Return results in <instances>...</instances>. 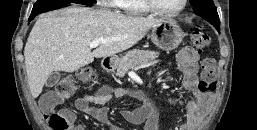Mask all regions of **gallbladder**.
I'll return each instance as SVG.
<instances>
[{
    "instance_id": "1",
    "label": "gallbladder",
    "mask_w": 257,
    "mask_h": 130,
    "mask_svg": "<svg viewBox=\"0 0 257 130\" xmlns=\"http://www.w3.org/2000/svg\"><path fill=\"white\" fill-rule=\"evenodd\" d=\"M60 77H61V75H60L59 72H53L48 77V79L46 81V86L49 87V88L55 86L59 82Z\"/></svg>"
}]
</instances>
